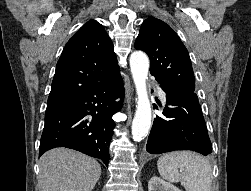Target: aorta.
Masks as SVG:
<instances>
[{
	"label": "aorta",
	"mask_w": 251,
	"mask_h": 191,
	"mask_svg": "<svg viewBox=\"0 0 251 191\" xmlns=\"http://www.w3.org/2000/svg\"><path fill=\"white\" fill-rule=\"evenodd\" d=\"M130 68L135 84L138 101L132 121V137L141 141L147 135L151 125V105L146 88L149 60L144 52H133L130 56Z\"/></svg>",
	"instance_id": "obj_1"
}]
</instances>
